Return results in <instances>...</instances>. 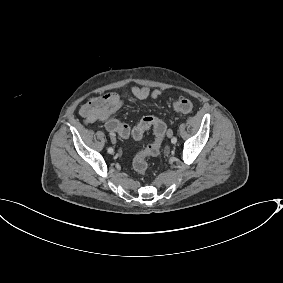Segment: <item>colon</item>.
Returning <instances> with one entry per match:
<instances>
[{
    "label": "colon",
    "instance_id": "colon-1",
    "mask_svg": "<svg viewBox=\"0 0 283 283\" xmlns=\"http://www.w3.org/2000/svg\"><path fill=\"white\" fill-rule=\"evenodd\" d=\"M173 107L177 112L188 113L193 109L194 105L191 100L187 98H181L174 103ZM105 126L106 129L112 134H118L123 138L129 137L131 134L132 137L136 140L141 139L146 130L150 128L153 129L155 136L154 141L149 144L144 150L137 153L132 162V166L135 172L141 176H144L147 173L148 169V164L146 161L147 157L156 156L160 152L161 143L166 132L165 123L157 117L146 116L142 118V120L131 133L128 125L121 123L116 118L111 117L106 121Z\"/></svg>",
    "mask_w": 283,
    "mask_h": 283
}]
</instances>
